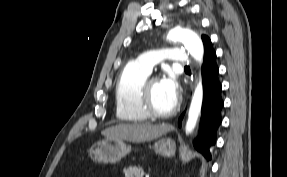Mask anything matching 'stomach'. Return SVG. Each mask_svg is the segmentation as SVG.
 <instances>
[{
  "label": "stomach",
  "instance_id": "obj_1",
  "mask_svg": "<svg viewBox=\"0 0 287 177\" xmlns=\"http://www.w3.org/2000/svg\"><path fill=\"white\" fill-rule=\"evenodd\" d=\"M156 153L171 157L175 154V142L171 138H160L154 144ZM131 151V146L124 140L104 139L95 143L89 153L93 161L99 163H116L125 157Z\"/></svg>",
  "mask_w": 287,
  "mask_h": 177
}]
</instances>
